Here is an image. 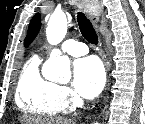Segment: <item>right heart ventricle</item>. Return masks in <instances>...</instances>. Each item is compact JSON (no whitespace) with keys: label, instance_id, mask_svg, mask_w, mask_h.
I'll return each instance as SVG.
<instances>
[{"label":"right heart ventricle","instance_id":"1","mask_svg":"<svg viewBox=\"0 0 145 124\" xmlns=\"http://www.w3.org/2000/svg\"><path fill=\"white\" fill-rule=\"evenodd\" d=\"M41 58L34 56L23 67L16 88V103L28 114L48 117L61 112L58 104V85L40 72Z\"/></svg>","mask_w":145,"mask_h":124}]
</instances>
